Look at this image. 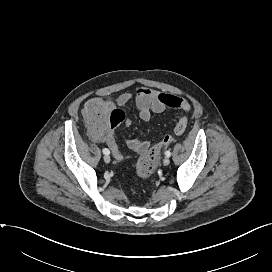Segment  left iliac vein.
Here are the masks:
<instances>
[{"label":"left iliac vein","instance_id":"left-iliac-vein-1","mask_svg":"<svg viewBox=\"0 0 272 272\" xmlns=\"http://www.w3.org/2000/svg\"><path fill=\"white\" fill-rule=\"evenodd\" d=\"M163 164H164L165 166H167V165L170 164V159H169V157H165V158L163 159Z\"/></svg>","mask_w":272,"mask_h":272}]
</instances>
